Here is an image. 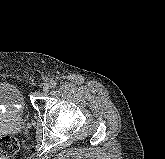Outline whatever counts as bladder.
<instances>
[{
	"label": "bladder",
	"instance_id": "obj_1",
	"mask_svg": "<svg viewBox=\"0 0 165 159\" xmlns=\"http://www.w3.org/2000/svg\"><path fill=\"white\" fill-rule=\"evenodd\" d=\"M0 122L5 118L22 116L26 111V102L21 89L9 82H0Z\"/></svg>",
	"mask_w": 165,
	"mask_h": 159
}]
</instances>
